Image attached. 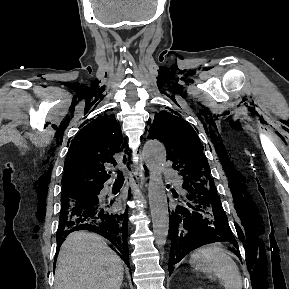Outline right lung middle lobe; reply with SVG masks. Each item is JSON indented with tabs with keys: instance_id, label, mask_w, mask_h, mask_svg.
<instances>
[{
	"instance_id": "obj_1",
	"label": "right lung middle lobe",
	"mask_w": 289,
	"mask_h": 289,
	"mask_svg": "<svg viewBox=\"0 0 289 289\" xmlns=\"http://www.w3.org/2000/svg\"><path fill=\"white\" fill-rule=\"evenodd\" d=\"M96 198L97 191H85L69 196H62V210L59 220L64 219V217L70 216L72 212L83 208L87 204L93 202Z\"/></svg>"
}]
</instances>
